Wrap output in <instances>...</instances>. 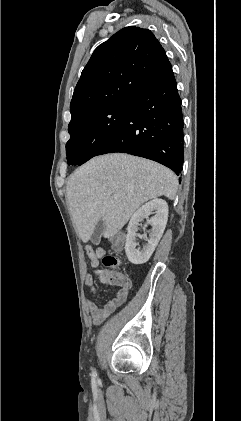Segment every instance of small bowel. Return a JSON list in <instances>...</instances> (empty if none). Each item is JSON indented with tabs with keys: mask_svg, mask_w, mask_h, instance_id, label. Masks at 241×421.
<instances>
[{
	"mask_svg": "<svg viewBox=\"0 0 241 421\" xmlns=\"http://www.w3.org/2000/svg\"><path fill=\"white\" fill-rule=\"evenodd\" d=\"M86 253L93 268H97L99 266V259L105 256V250L103 248H93L91 246L86 247ZM99 279L104 284H113L111 282H107L102 277H99ZM84 283L92 293L97 294L94 278L91 275H87L85 277ZM119 286L120 289L116 296L103 305H98L88 299L85 301L91 320L95 325L101 324L111 313H113L126 301L128 292L131 288V281L127 279L126 284Z\"/></svg>",
	"mask_w": 241,
	"mask_h": 421,
	"instance_id": "small-bowel-1",
	"label": "small bowel"
}]
</instances>
